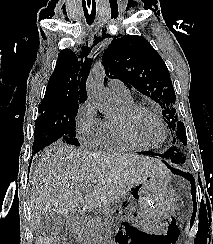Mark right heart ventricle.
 Listing matches in <instances>:
<instances>
[{"label":"right heart ventricle","instance_id":"obj_1","mask_svg":"<svg viewBox=\"0 0 213 244\" xmlns=\"http://www.w3.org/2000/svg\"><path fill=\"white\" fill-rule=\"evenodd\" d=\"M118 101L120 102L122 108L135 105L133 100ZM97 145L106 150L117 152H134L142 150L141 147L129 142L124 138L117 126L116 119L112 118L103 120Z\"/></svg>","mask_w":213,"mask_h":244}]
</instances>
